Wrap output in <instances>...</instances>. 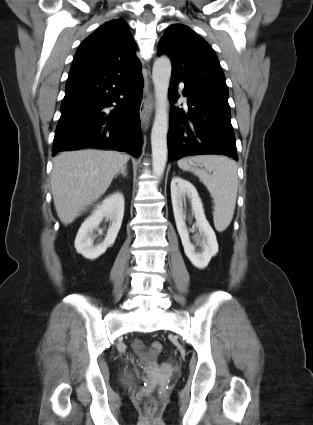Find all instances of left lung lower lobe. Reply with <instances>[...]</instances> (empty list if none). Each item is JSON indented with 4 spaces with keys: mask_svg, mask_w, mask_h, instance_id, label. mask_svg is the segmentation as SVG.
I'll return each mask as SVG.
<instances>
[{
    "mask_svg": "<svg viewBox=\"0 0 313 425\" xmlns=\"http://www.w3.org/2000/svg\"><path fill=\"white\" fill-rule=\"evenodd\" d=\"M181 81L171 76L169 100L172 103L179 98L177 85ZM184 84L183 95L188 98V112L171 105L169 161L204 154H221L238 160L228 94Z\"/></svg>",
    "mask_w": 313,
    "mask_h": 425,
    "instance_id": "obj_1",
    "label": "left lung lower lobe"
}]
</instances>
